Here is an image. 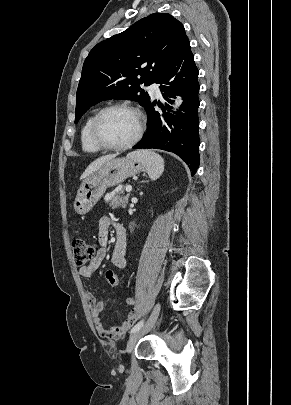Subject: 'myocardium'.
<instances>
[{"label": "myocardium", "instance_id": "myocardium-1", "mask_svg": "<svg viewBox=\"0 0 291 405\" xmlns=\"http://www.w3.org/2000/svg\"><path fill=\"white\" fill-rule=\"evenodd\" d=\"M116 109H124L133 112L138 119V129L135 136L128 142L120 145H113L105 142L99 134V124L102 117L108 113L109 111L116 110ZM145 129V118L143 113L139 108L134 105L128 103H114L108 106L103 107L99 110L93 117L91 126H90V137L92 142L103 150H110V151H122L127 150L133 147L142 137Z\"/></svg>", "mask_w": 291, "mask_h": 405}]
</instances>
